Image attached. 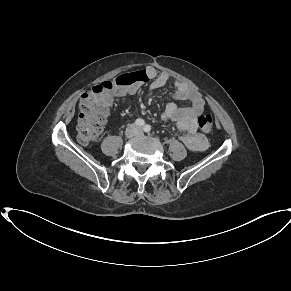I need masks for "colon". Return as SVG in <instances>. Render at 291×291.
<instances>
[{
  "label": "colon",
  "mask_w": 291,
  "mask_h": 291,
  "mask_svg": "<svg viewBox=\"0 0 291 291\" xmlns=\"http://www.w3.org/2000/svg\"><path fill=\"white\" fill-rule=\"evenodd\" d=\"M139 72L124 74L110 81L94 85L90 91L82 95L80 113L77 123V138L82 144L96 141L102 131V125L109 112V102L105 94L114 87H125L139 80ZM199 128L209 133L213 129V119L209 114L198 117Z\"/></svg>",
  "instance_id": "colon-1"
}]
</instances>
